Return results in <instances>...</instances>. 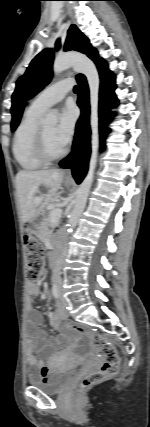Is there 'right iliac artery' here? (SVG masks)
<instances>
[{"mask_svg": "<svg viewBox=\"0 0 150 427\" xmlns=\"http://www.w3.org/2000/svg\"><path fill=\"white\" fill-rule=\"evenodd\" d=\"M52 295L58 299L59 298V291H58V286L56 284L53 285L52 287Z\"/></svg>", "mask_w": 150, "mask_h": 427, "instance_id": "obj_1", "label": "right iliac artery"}]
</instances>
